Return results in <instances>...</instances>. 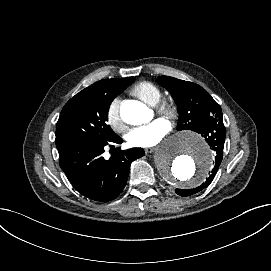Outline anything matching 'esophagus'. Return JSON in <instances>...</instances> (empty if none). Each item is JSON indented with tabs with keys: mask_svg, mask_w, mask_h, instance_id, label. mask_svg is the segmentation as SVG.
<instances>
[{
	"mask_svg": "<svg viewBox=\"0 0 271 271\" xmlns=\"http://www.w3.org/2000/svg\"><path fill=\"white\" fill-rule=\"evenodd\" d=\"M155 150H156L155 147H148V148H145V153L150 154V153L154 152Z\"/></svg>",
	"mask_w": 271,
	"mask_h": 271,
	"instance_id": "esophagus-1",
	"label": "esophagus"
}]
</instances>
